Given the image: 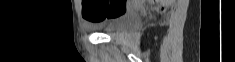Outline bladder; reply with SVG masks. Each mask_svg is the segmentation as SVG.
<instances>
[{
	"instance_id": "31cf9c89",
	"label": "bladder",
	"mask_w": 235,
	"mask_h": 62,
	"mask_svg": "<svg viewBox=\"0 0 235 62\" xmlns=\"http://www.w3.org/2000/svg\"><path fill=\"white\" fill-rule=\"evenodd\" d=\"M140 22V15L134 8L111 18L104 26V31L107 34H115L131 29Z\"/></svg>"
}]
</instances>
